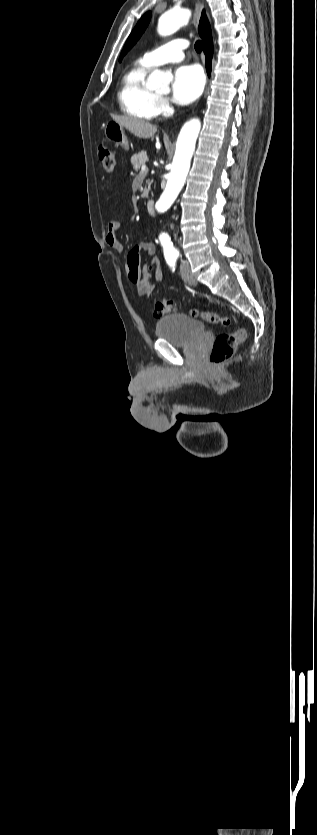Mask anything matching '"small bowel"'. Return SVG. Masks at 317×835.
Masks as SVG:
<instances>
[{
  "label": "small bowel",
  "mask_w": 317,
  "mask_h": 835,
  "mask_svg": "<svg viewBox=\"0 0 317 835\" xmlns=\"http://www.w3.org/2000/svg\"><path fill=\"white\" fill-rule=\"evenodd\" d=\"M121 224L118 220L112 219L107 224L106 243L114 251L118 253L124 252V245L118 238V231ZM145 252L148 258V266L154 274L156 282L163 280V272L159 264V260L155 253V247L152 242L145 241L133 246L126 255L127 271L130 281L136 286L140 295L149 294L154 284L149 273H143L140 269V254Z\"/></svg>",
  "instance_id": "obj_1"
}]
</instances>
